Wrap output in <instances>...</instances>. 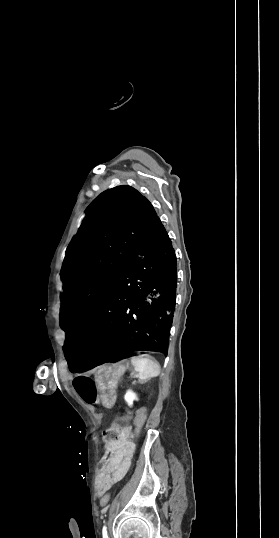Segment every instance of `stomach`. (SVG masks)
Masks as SVG:
<instances>
[{"instance_id": "stomach-1", "label": "stomach", "mask_w": 279, "mask_h": 538, "mask_svg": "<svg viewBox=\"0 0 279 538\" xmlns=\"http://www.w3.org/2000/svg\"><path fill=\"white\" fill-rule=\"evenodd\" d=\"M123 370L122 363H101L97 368V390L102 400L101 405L105 409L111 408L112 401L117 398L116 385L112 382H117L118 374H122Z\"/></svg>"}]
</instances>
